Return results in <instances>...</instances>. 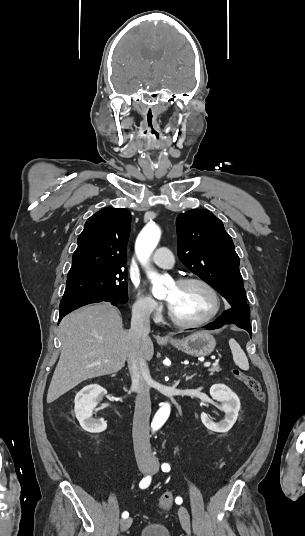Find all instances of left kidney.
Returning a JSON list of instances; mask_svg holds the SVG:
<instances>
[{
	"label": "left kidney",
	"instance_id": "left-kidney-1",
	"mask_svg": "<svg viewBox=\"0 0 305 536\" xmlns=\"http://www.w3.org/2000/svg\"><path fill=\"white\" fill-rule=\"evenodd\" d=\"M210 396H212L213 400L221 402L220 410L225 412V418L222 422H219V424H215V422L210 420L207 414L202 412L201 420L204 426H206L208 430H212V432H229L233 424H235L240 410V400L238 396H236L228 386H225V384H214V386H211Z\"/></svg>",
	"mask_w": 305,
	"mask_h": 536
}]
</instances>
